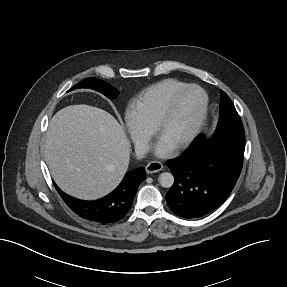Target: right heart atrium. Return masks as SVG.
Wrapping results in <instances>:
<instances>
[{
  "label": "right heart atrium",
  "mask_w": 287,
  "mask_h": 287,
  "mask_svg": "<svg viewBox=\"0 0 287 287\" xmlns=\"http://www.w3.org/2000/svg\"><path fill=\"white\" fill-rule=\"evenodd\" d=\"M127 131L140 151H145L152 136L150 130L143 127L130 113L125 116Z\"/></svg>",
  "instance_id": "right-heart-atrium-1"
}]
</instances>
